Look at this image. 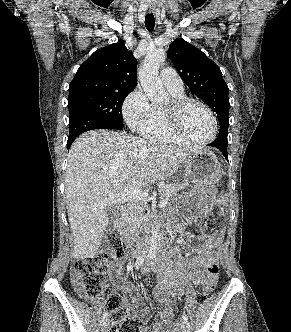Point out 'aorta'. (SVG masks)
Masks as SVG:
<instances>
[{
  "instance_id": "762f6f07",
  "label": "aorta",
  "mask_w": 291,
  "mask_h": 332,
  "mask_svg": "<svg viewBox=\"0 0 291 332\" xmlns=\"http://www.w3.org/2000/svg\"><path fill=\"white\" fill-rule=\"evenodd\" d=\"M165 51L162 48L153 49L147 55L139 68V79L146 96L152 103H166L169 101V94L164 89L159 79V67L165 61ZM150 241V254H156L158 229L152 227Z\"/></svg>"
}]
</instances>
